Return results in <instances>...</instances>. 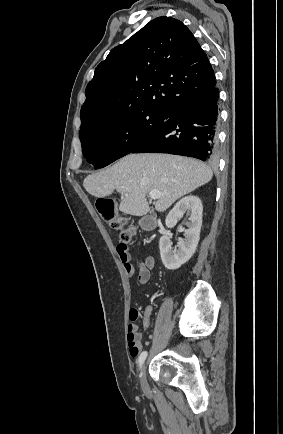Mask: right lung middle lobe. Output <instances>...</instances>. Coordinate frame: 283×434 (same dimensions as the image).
<instances>
[{
	"mask_svg": "<svg viewBox=\"0 0 283 434\" xmlns=\"http://www.w3.org/2000/svg\"><path fill=\"white\" fill-rule=\"evenodd\" d=\"M168 112L138 109L111 117L81 130L82 152L94 167L102 168L131 153L167 119Z\"/></svg>",
	"mask_w": 283,
	"mask_h": 434,
	"instance_id": "right-lung-middle-lobe-1",
	"label": "right lung middle lobe"
}]
</instances>
